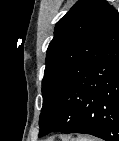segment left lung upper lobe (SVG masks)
<instances>
[{
  "label": "left lung upper lobe",
  "instance_id": "5c2ea615",
  "mask_svg": "<svg viewBox=\"0 0 119 141\" xmlns=\"http://www.w3.org/2000/svg\"><path fill=\"white\" fill-rule=\"evenodd\" d=\"M117 16L105 0H79L59 20L47 49L42 111L95 57Z\"/></svg>",
  "mask_w": 119,
  "mask_h": 141
}]
</instances>
